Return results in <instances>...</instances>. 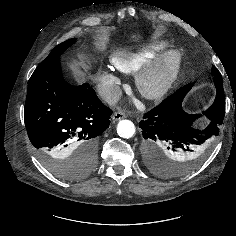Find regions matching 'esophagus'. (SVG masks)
Here are the masks:
<instances>
[{"label": "esophagus", "instance_id": "1", "mask_svg": "<svg viewBox=\"0 0 236 236\" xmlns=\"http://www.w3.org/2000/svg\"><path fill=\"white\" fill-rule=\"evenodd\" d=\"M125 117H126L125 113H123L121 111H117L113 114L112 119H113V121H119Z\"/></svg>", "mask_w": 236, "mask_h": 236}]
</instances>
